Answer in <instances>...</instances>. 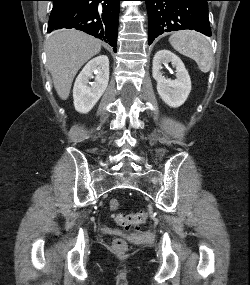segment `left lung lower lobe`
<instances>
[{"instance_id": "1", "label": "left lung lower lobe", "mask_w": 250, "mask_h": 285, "mask_svg": "<svg viewBox=\"0 0 250 285\" xmlns=\"http://www.w3.org/2000/svg\"><path fill=\"white\" fill-rule=\"evenodd\" d=\"M146 2L149 29L148 43L164 32L196 30L211 36L208 19L210 0H142Z\"/></svg>"}]
</instances>
